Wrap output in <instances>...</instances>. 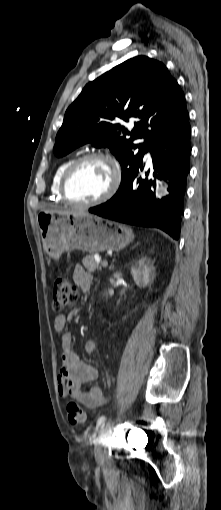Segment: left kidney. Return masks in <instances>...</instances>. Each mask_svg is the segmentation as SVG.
<instances>
[{
	"mask_svg": "<svg viewBox=\"0 0 221 510\" xmlns=\"http://www.w3.org/2000/svg\"><path fill=\"white\" fill-rule=\"evenodd\" d=\"M153 270V261L147 257H143L136 261L131 267V274L135 283L139 287H145L150 280V274Z\"/></svg>",
	"mask_w": 221,
	"mask_h": 510,
	"instance_id": "5707ae66",
	"label": "left kidney"
}]
</instances>
